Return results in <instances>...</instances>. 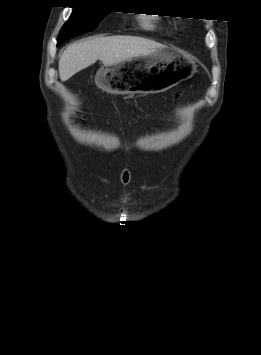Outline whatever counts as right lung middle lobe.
I'll return each instance as SVG.
<instances>
[{
    "mask_svg": "<svg viewBox=\"0 0 261 355\" xmlns=\"http://www.w3.org/2000/svg\"><path fill=\"white\" fill-rule=\"evenodd\" d=\"M109 11L100 9H90L85 7H75L70 19L62 27L58 40H69L82 33L93 30L103 16Z\"/></svg>",
    "mask_w": 261,
    "mask_h": 355,
    "instance_id": "dd1d6c3e",
    "label": "right lung middle lobe"
}]
</instances>
